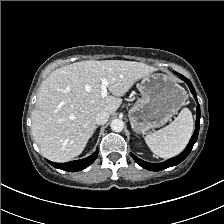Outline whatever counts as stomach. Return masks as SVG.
<instances>
[{"mask_svg": "<svg viewBox=\"0 0 224 224\" xmlns=\"http://www.w3.org/2000/svg\"><path fill=\"white\" fill-rule=\"evenodd\" d=\"M138 89L141 97L128 113L131 127L137 133L165 125L187 99L185 89L162 73L145 76Z\"/></svg>", "mask_w": 224, "mask_h": 224, "instance_id": "0dacf381", "label": "stomach"}]
</instances>
